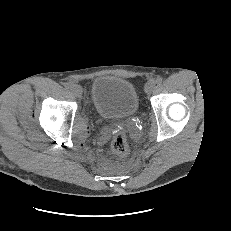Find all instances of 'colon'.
I'll return each mask as SVG.
<instances>
[{
  "label": "colon",
  "mask_w": 231,
  "mask_h": 231,
  "mask_svg": "<svg viewBox=\"0 0 231 231\" xmlns=\"http://www.w3.org/2000/svg\"><path fill=\"white\" fill-rule=\"evenodd\" d=\"M110 148L116 155H126L129 152V144L126 134L122 131L116 132L111 140Z\"/></svg>",
  "instance_id": "obj_1"
}]
</instances>
